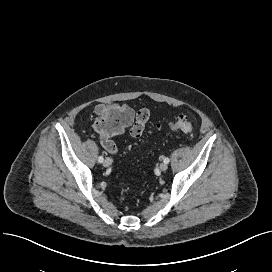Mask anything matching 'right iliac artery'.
<instances>
[{
  "label": "right iliac artery",
  "instance_id": "82829eb1",
  "mask_svg": "<svg viewBox=\"0 0 272 272\" xmlns=\"http://www.w3.org/2000/svg\"><path fill=\"white\" fill-rule=\"evenodd\" d=\"M103 160H104L103 156H99V158H98V162H99V163H102V162H103Z\"/></svg>",
  "mask_w": 272,
  "mask_h": 272
}]
</instances>
